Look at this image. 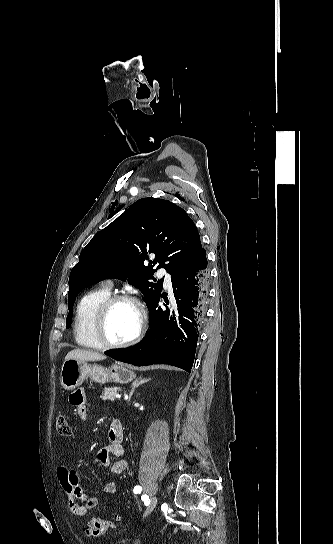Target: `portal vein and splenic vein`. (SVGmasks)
<instances>
[{"instance_id": "1", "label": "portal vein and splenic vein", "mask_w": 333, "mask_h": 544, "mask_svg": "<svg viewBox=\"0 0 333 544\" xmlns=\"http://www.w3.org/2000/svg\"><path fill=\"white\" fill-rule=\"evenodd\" d=\"M115 398L120 399V398H121V395H120V394H116V395H115Z\"/></svg>"}]
</instances>
